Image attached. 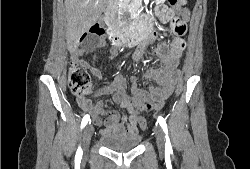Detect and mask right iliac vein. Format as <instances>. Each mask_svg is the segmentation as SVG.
Wrapping results in <instances>:
<instances>
[{"label": "right iliac vein", "instance_id": "1", "mask_svg": "<svg viewBox=\"0 0 250 169\" xmlns=\"http://www.w3.org/2000/svg\"><path fill=\"white\" fill-rule=\"evenodd\" d=\"M93 134V128L90 125H87L83 131V146L85 149H88Z\"/></svg>", "mask_w": 250, "mask_h": 169}]
</instances>
